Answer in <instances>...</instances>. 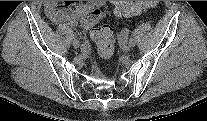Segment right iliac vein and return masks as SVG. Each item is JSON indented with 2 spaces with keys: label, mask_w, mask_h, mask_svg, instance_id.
<instances>
[{
  "label": "right iliac vein",
  "mask_w": 207,
  "mask_h": 121,
  "mask_svg": "<svg viewBox=\"0 0 207 121\" xmlns=\"http://www.w3.org/2000/svg\"><path fill=\"white\" fill-rule=\"evenodd\" d=\"M72 44H73L74 48H79V46H80V43L78 40H73Z\"/></svg>",
  "instance_id": "63e3f726"
}]
</instances>
